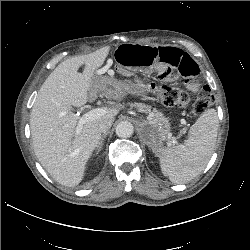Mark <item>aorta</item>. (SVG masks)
<instances>
[{"instance_id": "obj_1", "label": "aorta", "mask_w": 250, "mask_h": 250, "mask_svg": "<svg viewBox=\"0 0 250 250\" xmlns=\"http://www.w3.org/2000/svg\"><path fill=\"white\" fill-rule=\"evenodd\" d=\"M133 132H134V127L128 121H122L116 126V134L121 138L131 137Z\"/></svg>"}]
</instances>
